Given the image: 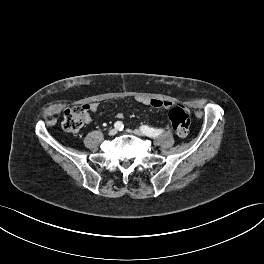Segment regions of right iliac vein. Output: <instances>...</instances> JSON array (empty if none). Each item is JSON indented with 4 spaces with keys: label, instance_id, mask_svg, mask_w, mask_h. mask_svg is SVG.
I'll use <instances>...</instances> for the list:
<instances>
[{
    "label": "right iliac vein",
    "instance_id": "63e3f726",
    "mask_svg": "<svg viewBox=\"0 0 264 264\" xmlns=\"http://www.w3.org/2000/svg\"><path fill=\"white\" fill-rule=\"evenodd\" d=\"M117 132H118V130H117L116 128H113V129H111V130L109 131V135L114 136V135L117 134Z\"/></svg>",
    "mask_w": 264,
    "mask_h": 264
}]
</instances>
